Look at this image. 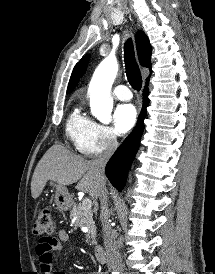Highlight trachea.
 Listing matches in <instances>:
<instances>
[{
  "label": "trachea",
  "instance_id": "3493384b",
  "mask_svg": "<svg viewBox=\"0 0 215 274\" xmlns=\"http://www.w3.org/2000/svg\"><path fill=\"white\" fill-rule=\"evenodd\" d=\"M124 61L128 82L133 89L140 91L142 87V76L135 59V52L131 39H128L124 45Z\"/></svg>",
  "mask_w": 215,
  "mask_h": 274
}]
</instances>
